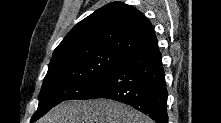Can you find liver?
<instances>
[{"mask_svg":"<svg viewBox=\"0 0 221 123\" xmlns=\"http://www.w3.org/2000/svg\"><path fill=\"white\" fill-rule=\"evenodd\" d=\"M38 123H153V121L125 104L96 99L63 102Z\"/></svg>","mask_w":221,"mask_h":123,"instance_id":"6515ba94","label":"liver"}]
</instances>
